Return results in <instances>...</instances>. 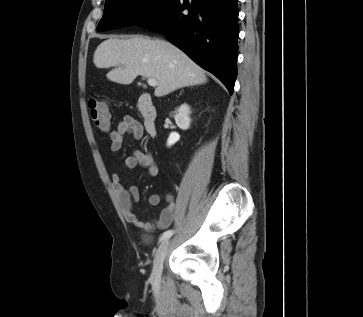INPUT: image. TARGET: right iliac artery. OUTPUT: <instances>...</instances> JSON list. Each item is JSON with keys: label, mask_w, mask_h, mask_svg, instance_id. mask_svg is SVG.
Here are the masks:
<instances>
[{"label": "right iliac artery", "mask_w": 363, "mask_h": 317, "mask_svg": "<svg viewBox=\"0 0 363 317\" xmlns=\"http://www.w3.org/2000/svg\"><path fill=\"white\" fill-rule=\"evenodd\" d=\"M174 231L173 230H168L166 232H164L162 234V236L160 237V241L166 240L168 238H170L173 235Z\"/></svg>", "instance_id": "1"}]
</instances>
